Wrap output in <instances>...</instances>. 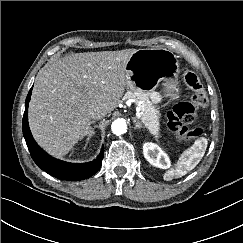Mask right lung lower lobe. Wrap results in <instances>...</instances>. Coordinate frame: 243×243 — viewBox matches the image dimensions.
Instances as JSON below:
<instances>
[{"mask_svg": "<svg viewBox=\"0 0 243 243\" xmlns=\"http://www.w3.org/2000/svg\"><path fill=\"white\" fill-rule=\"evenodd\" d=\"M31 90L32 88L30 89L26 98L22 125L23 135L34 162L38 165L39 168H41L51 176L63 180H83L94 175L102 165L104 147H102L101 153L96 160L89 163L75 164L52 158L37 145L32 137L28 125V103L31 97Z\"/></svg>", "mask_w": 243, "mask_h": 243, "instance_id": "right-lung-lower-lobe-1", "label": "right lung lower lobe"}]
</instances>
